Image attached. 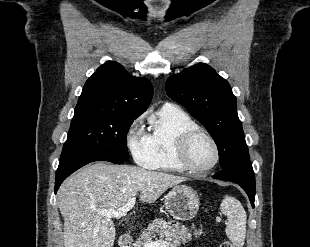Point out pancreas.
Returning <instances> with one entry per match:
<instances>
[{"instance_id":"pancreas-1","label":"pancreas","mask_w":310,"mask_h":247,"mask_svg":"<svg viewBox=\"0 0 310 247\" xmlns=\"http://www.w3.org/2000/svg\"><path fill=\"white\" fill-rule=\"evenodd\" d=\"M202 233V230H194L193 234L197 237ZM156 235L160 236V240L165 238L164 241H167L168 247H180L192 240L191 231L185 226L178 223L173 224L172 221L166 222L162 219H156L142 232L141 237L133 246L145 247L146 241L151 240Z\"/></svg>"}]
</instances>
